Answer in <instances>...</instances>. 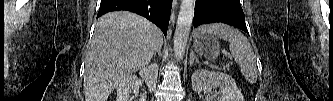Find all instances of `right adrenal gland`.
<instances>
[{
	"label": "right adrenal gland",
	"mask_w": 333,
	"mask_h": 101,
	"mask_svg": "<svg viewBox=\"0 0 333 101\" xmlns=\"http://www.w3.org/2000/svg\"><path fill=\"white\" fill-rule=\"evenodd\" d=\"M158 55L160 56L161 55V48L158 49ZM156 56V53L154 54V57Z\"/></svg>",
	"instance_id": "1"
}]
</instances>
